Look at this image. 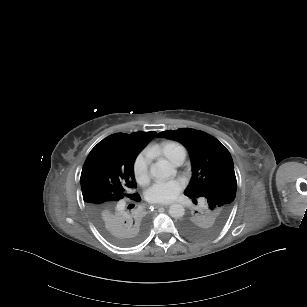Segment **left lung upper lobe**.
<instances>
[{"label": "left lung upper lobe", "mask_w": 307, "mask_h": 307, "mask_svg": "<svg viewBox=\"0 0 307 307\" xmlns=\"http://www.w3.org/2000/svg\"><path fill=\"white\" fill-rule=\"evenodd\" d=\"M157 137L183 144L190 153L193 176L185 195L206 199L201 210L181 221L182 233L194 240L215 235L225 224L236 195L237 181L229 151L213 136L194 129L161 132Z\"/></svg>", "instance_id": "5c2ea615"}]
</instances>
